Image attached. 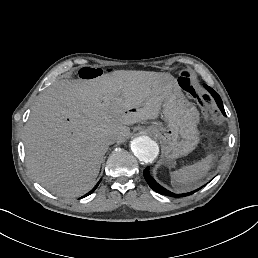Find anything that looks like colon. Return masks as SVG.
<instances>
[{"label":"colon","mask_w":258,"mask_h":258,"mask_svg":"<svg viewBox=\"0 0 258 258\" xmlns=\"http://www.w3.org/2000/svg\"><path fill=\"white\" fill-rule=\"evenodd\" d=\"M109 71L110 70H105V69L97 68V67H83L75 73V77L78 79H81V80H94ZM180 79H181L183 88L187 92H189L190 95L197 98V100L199 101V103L202 106H204L206 108L210 107L211 99H210L209 95H207L199 90L192 73L184 72L181 75Z\"/></svg>","instance_id":"obj_1"}]
</instances>
